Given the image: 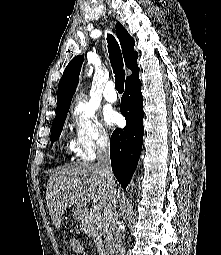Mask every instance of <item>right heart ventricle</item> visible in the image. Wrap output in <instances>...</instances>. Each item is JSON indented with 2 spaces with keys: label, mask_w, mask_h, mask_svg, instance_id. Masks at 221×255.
I'll use <instances>...</instances> for the list:
<instances>
[{
  "label": "right heart ventricle",
  "mask_w": 221,
  "mask_h": 255,
  "mask_svg": "<svg viewBox=\"0 0 221 255\" xmlns=\"http://www.w3.org/2000/svg\"><path fill=\"white\" fill-rule=\"evenodd\" d=\"M68 152H74L76 154H79V149L74 141H70L67 145Z\"/></svg>",
  "instance_id": "1"
}]
</instances>
